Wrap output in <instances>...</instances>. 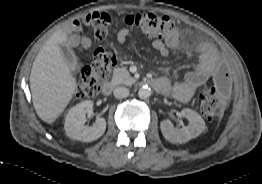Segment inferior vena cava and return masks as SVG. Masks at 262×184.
Listing matches in <instances>:
<instances>
[{
	"label": "inferior vena cava",
	"mask_w": 262,
	"mask_h": 184,
	"mask_svg": "<svg viewBox=\"0 0 262 184\" xmlns=\"http://www.w3.org/2000/svg\"><path fill=\"white\" fill-rule=\"evenodd\" d=\"M129 95V89L126 87H117L114 89V96L118 99L125 98Z\"/></svg>",
	"instance_id": "602c4592"
}]
</instances>
